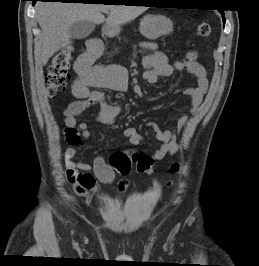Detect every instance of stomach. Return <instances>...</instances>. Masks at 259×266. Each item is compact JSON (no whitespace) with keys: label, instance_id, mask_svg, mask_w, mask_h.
I'll return each mask as SVG.
<instances>
[{"label":"stomach","instance_id":"0dacf381","mask_svg":"<svg viewBox=\"0 0 259 266\" xmlns=\"http://www.w3.org/2000/svg\"><path fill=\"white\" fill-rule=\"evenodd\" d=\"M173 31V23L170 19L161 15H147L140 23L141 34L149 40H155ZM110 34H118L120 28H111Z\"/></svg>","mask_w":259,"mask_h":266}]
</instances>
